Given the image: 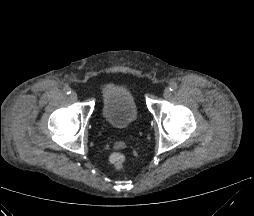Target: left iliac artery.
<instances>
[{
	"label": "left iliac artery",
	"instance_id": "obj_1",
	"mask_svg": "<svg viewBox=\"0 0 254 216\" xmlns=\"http://www.w3.org/2000/svg\"><path fill=\"white\" fill-rule=\"evenodd\" d=\"M177 88H178L177 83H175V82L170 83V85H169L170 91L174 92L175 90H177Z\"/></svg>",
	"mask_w": 254,
	"mask_h": 216
}]
</instances>
